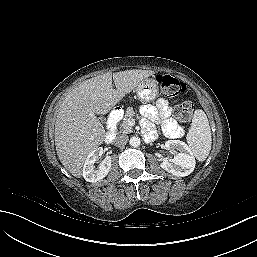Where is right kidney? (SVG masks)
<instances>
[{
  "instance_id": "right-kidney-1",
  "label": "right kidney",
  "mask_w": 257,
  "mask_h": 257,
  "mask_svg": "<svg viewBox=\"0 0 257 257\" xmlns=\"http://www.w3.org/2000/svg\"><path fill=\"white\" fill-rule=\"evenodd\" d=\"M103 154V148L99 147L93 150L89 155L87 156L84 166H83V171H82V176L84 179L88 182H97L102 180L104 177L107 176V174L110 171L111 168V157L108 156L105 159H103L97 169H95V162L98 159V157L102 156Z\"/></svg>"
}]
</instances>
